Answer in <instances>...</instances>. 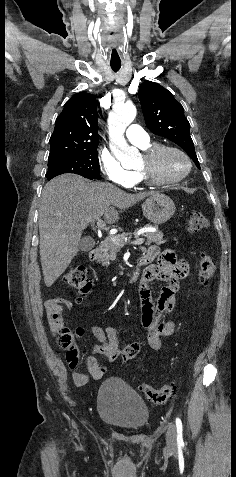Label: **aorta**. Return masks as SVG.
Listing matches in <instances>:
<instances>
[{"mask_svg": "<svg viewBox=\"0 0 236 477\" xmlns=\"http://www.w3.org/2000/svg\"><path fill=\"white\" fill-rule=\"evenodd\" d=\"M136 107L132 103L116 105L109 116L110 146L115 156L125 163L137 158L139 155L135 147L129 146L124 137V132L136 117Z\"/></svg>", "mask_w": 236, "mask_h": 477, "instance_id": "obj_1", "label": "aorta"}]
</instances>
